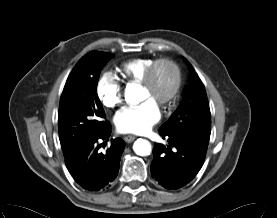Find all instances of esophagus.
I'll return each instance as SVG.
<instances>
[{
	"label": "esophagus",
	"mask_w": 277,
	"mask_h": 218,
	"mask_svg": "<svg viewBox=\"0 0 277 218\" xmlns=\"http://www.w3.org/2000/svg\"><path fill=\"white\" fill-rule=\"evenodd\" d=\"M135 136H133V135H127V136H124L123 137V140L125 141V142H127V143H131L132 141H134L135 140Z\"/></svg>",
	"instance_id": "34e87169"
}]
</instances>
